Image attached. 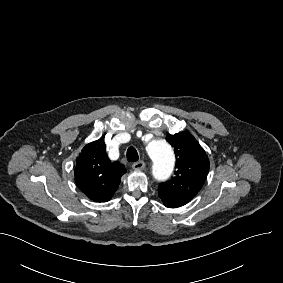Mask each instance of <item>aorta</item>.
Wrapping results in <instances>:
<instances>
[{
	"label": "aorta",
	"instance_id": "aorta-1",
	"mask_svg": "<svg viewBox=\"0 0 283 283\" xmlns=\"http://www.w3.org/2000/svg\"><path fill=\"white\" fill-rule=\"evenodd\" d=\"M147 152L153 161V176L157 180L169 178L175 163L171 146L165 140H153L147 146Z\"/></svg>",
	"mask_w": 283,
	"mask_h": 283
}]
</instances>
